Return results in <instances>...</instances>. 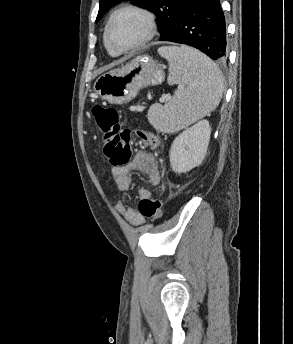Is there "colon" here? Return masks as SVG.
Wrapping results in <instances>:
<instances>
[{"label":"colon","mask_w":293,"mask_h":344,"mask_svg":"<svg viewBox=\"0 0 293 344\" xmlns=\"http://www.w3.org/2000/svg\"><path fill=\"white\" fill-rule=\"evenodd\" d=\"M92 116L103 140L104 154L113 167H123L130 162L134 140L152 149L159 144L158 138L151 132L141 129L134 133L128 129L121 130V116L116 108L95 105ZM138 210L144 217L158 219L162 216V202L156 197L144 198L140 200Z\"/></svg>","instance_id":"obj_1"}]
</instances>
